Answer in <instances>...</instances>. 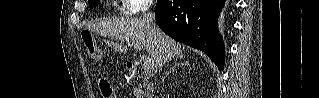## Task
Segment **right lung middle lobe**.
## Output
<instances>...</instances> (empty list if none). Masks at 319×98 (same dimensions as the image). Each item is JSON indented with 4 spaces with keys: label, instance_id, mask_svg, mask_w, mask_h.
<instances>
[{
    "label": "right lung middle lobe",
    "instance_id": "1",
    "mask_svg": "<svg viewBox=\"0 0 319 98\" xmlns=\"http://www.w3.org/2000/svg\"><path fill=\"white\" fill-rule=\"evenodd\" d=\"M100 3V0H89V5L90 6H96Z\"/></svg>",
    "mask_w": 319,
    "mask_h": 98
}]
</instances>
